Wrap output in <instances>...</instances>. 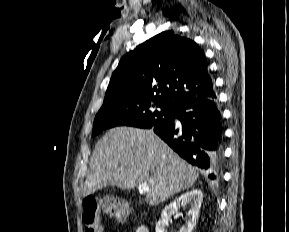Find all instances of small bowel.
I'll return each mask as SVG.
<instances>
[{
  "label": "small bowel",
  "instance_id": "1",
  "mask_svg": "<svg viewBox=\"0 0 289 232\" xmlns=\"http://www.w3.org/2000/svg\"><path fill=\"white\" fill-rule=\"evenodd\" d=\"M134 232H149V231L146 226L139 225L135 228Z\"/></svg>",
  "mask_w": 289,
  "mask_h": 232
}]
</instances>
